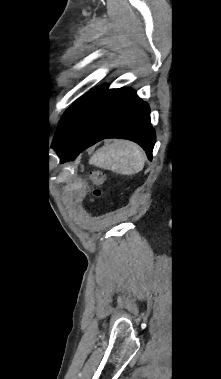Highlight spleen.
I'll use <instances>...</instances> for the list:
<instances>
[{
    "label": "spleen",
    "mask_w": 221,
    "mask_h": 379,
    "mask_svg": "<svg viewBox=\"0 0 221 379\" xmlns=\"http://www.w3.org/2000/svg\"><path fill=\"white\" fill-rule=\"evenodd\" d=\"M89 163L116 174L133 175L143 169L145 154L133 142L114 140L97 150Z\"/></svg>",
    "instance_id": "3e777b00"
}]
</instances>
